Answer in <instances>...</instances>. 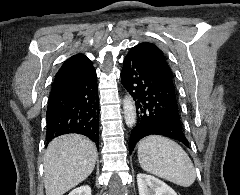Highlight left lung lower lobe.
<instances>
[{"instance_id":"obj_1","label":"left lung lower lobe","mask_w":240,"mask_h":195,"mask_svg":"<svg viewBox=\"0 0 240 195\" xmlns=\"http://www.w3.org/2000/svg\"><path fill=\"white\" fill-rule=\"evenodd\" d=\"M121 71L122 84L135 100L137 123L130 136V153L143 137L163 135L186 146L174 83L142 60L126 56Z\"/></svg>"}]
</instances>
